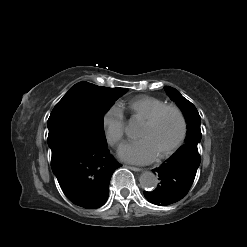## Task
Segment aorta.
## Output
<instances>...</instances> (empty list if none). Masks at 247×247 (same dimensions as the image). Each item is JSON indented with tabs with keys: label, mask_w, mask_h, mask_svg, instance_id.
<instances>
[{
	"label": "aorta",
	"mask_w": 247,
	"mask_h": 247,
	"mask_svg": "<svg viewBox=\"0 0 247 247\" xmlns=\"http://www.w3.org/2000/svg\"><path fill=\"white\" fill-rule=\"evenodd\" d=\"M135 130V124H129V126L126 128V133L129 136H132ZM139 181L142 188L146 190H154L158 184V177L154 173L147 171L141 174Z\"/></svg>",
	"instance_id": "obj_1"
}]
</instances>
